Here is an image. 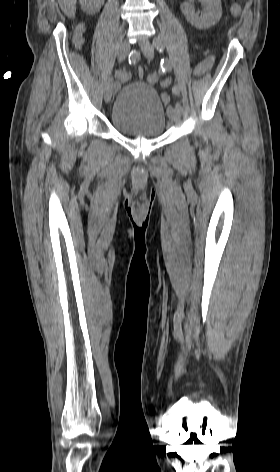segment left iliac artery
<instances>
[{
	"label": "left iliac artery",
	"instance_id": "44dca946",
	"mask_svg": "<svg viewBox=\"0 0 280 472\" xmlns=\"http://www.w3.org/2000/svg\"><path fill=\"white\" fill-rule=\"evenodd\" d=\"M154 45L159 52H162L164 49V42L161 39H156L154 41ZM161 67L163 70L171 71L172 70V63L168 59L161 60ZM172 93L174 96H178L180 93V89L177 85H174L172 88ZM175 107L181 112L182 106L179 102H176Z\"/></svg>",
	"mask_w": 280,
	"mask_h": 472
}]
</instances>
